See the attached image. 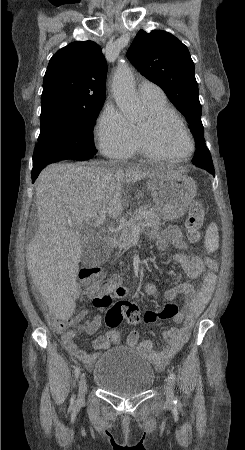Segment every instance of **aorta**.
<instances>
[{"label": "aorta", "instance_id": "aorta-1", "mask_svg": "<svg viewBox=\"0 0 245 450\" xmlns=\"http://www.w3.org/2000/svg\"><path fill=\"white\" fill-rule=\"evenodd\" d=\"M113 95L115 102L126 118L136 123L143 117V108L138 100L131 69L122 64L113 78Z\"/></svg>", "mask_w": 245, "mask_h": 450}]
</instances>
